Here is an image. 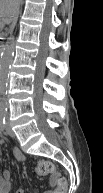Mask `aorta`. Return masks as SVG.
<instances>
[{
  "label": "aorta",
  "mask_w": 103,
  "mask_h": 193,
  "mask_svg": "<svg viewBox=\"0 0 103 193\" xmlns=\"http://www.w3.org/2000/svg\"><path fill=\"white\" fill-rule=\"evenodd\" d=\"M15 49V39L13 36H10L7 39L5 46L3 47L1 56H0V90L4 95L7 88V82L9 77V69L12 63L13 54ZM2 110L6 108V99L2 98Z\"/></svg>",
  "instance_id": "1"
}]
</instances>
